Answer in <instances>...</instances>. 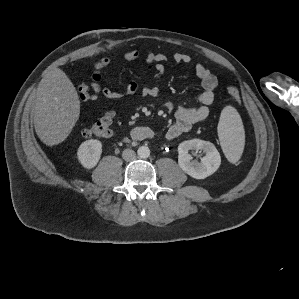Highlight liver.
I'll return each mask as SVG.
<instances>
[{
    "instance_id": "liver-1",
    "label": "liver",
    "mask_w": 299,
    "mask_h": 299,
    "mask_svg": "<svg viewBox=\"0 0 299 299\" xmlns=\"http://www.w3.org/2000/svg\"><path fill=\"white\" fill-rule=\"evenodd\" d=\"M33 113L36 134L44 144L54 146L69 136L80 116V101L64 71L46 72L36 91Z\"/></svg>"
}]
</instances>
